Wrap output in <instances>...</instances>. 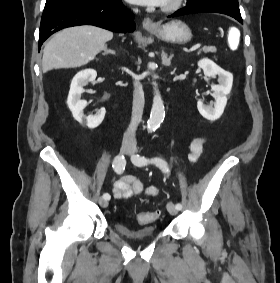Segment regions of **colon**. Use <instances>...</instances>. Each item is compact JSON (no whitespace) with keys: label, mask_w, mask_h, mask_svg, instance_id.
Masks as SVG:
<instances>
[{"label":"colon","mask_w":280,"mask_h":283,"mask_svg":"<svg viewBox=\"0 0 280 283\" xmlns=\"http://www.w3.org/2000/svg\"><path fill=\"white\" fill-rule=\"evenodd\" d=\"M228 36L229 47H232L233 51L240 47L241 37L244 36L243 32H238L237 25H228L226 30ZM158 211H146L135 214V221L139 224H148L156 220L159 216Z\"/></svg>","instance_id":"1"}]
</instances>
